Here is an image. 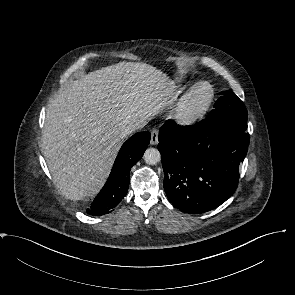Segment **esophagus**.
Returning a JSON list of instances; mask_svg holds the SVG:
<instances>
[{"label":"esophagus","instance_id":"1","mask_svg":"<svg viewBox=\"0 0 295 295\" xmlns=\"http://www.w3.org/2000/svg\"><path fill=\"white\" fill-rule=\"evenodd\" d=\"M158 135H159V131L157 129L152 130L151 140H150L151 145H156L158 143Z\"/></svg>","mask_w":295,"mask_h":295}]
</instances>
